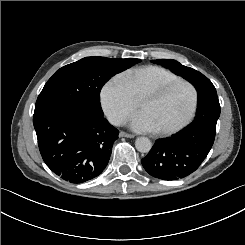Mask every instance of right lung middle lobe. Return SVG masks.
Returning <instances> with one entry per match:
<instances>
[{"instance_id":"1","label":"right lung middle lobe","mask_w":245,"mask_h":245,"mask_svg":"<svg viewBox=\"0 0 245 245\" xmlns=\"http://www.w3.org/2000/svg\"><path fill=\"white\" fill-rule=\"evenodd\" d=\"M140 62L139 59L86 57L57 70L47 81L35 110L56 105L73 106L93 116H103L99 95L102 86L115 73Z\"/></svg>"}]
</instances>
